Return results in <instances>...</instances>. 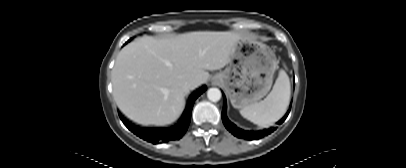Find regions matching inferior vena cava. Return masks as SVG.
<instances>
[{
    "mask_svg": "<svg viewBox=\"0 0 406 168\" xmlns=\"http://www.w3.org/2000/svg\"><path fill=\"white\" fill-rule=\"evenodd\" d=\"M192 86H193V82H192V81H187V82L185 83L184 89H185L186 91H188L189 89L192 88Z\"/></svg>",
    "mask_w": 406,
    "mask_h": 168,
    "instance_id": "1",
    "label": "inferior vena cava"
}]
</instances>
